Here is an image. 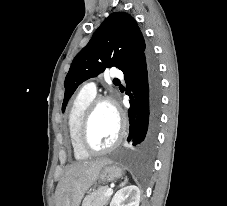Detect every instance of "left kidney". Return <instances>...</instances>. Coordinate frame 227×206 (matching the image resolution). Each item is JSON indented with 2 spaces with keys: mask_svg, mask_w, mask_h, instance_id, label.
I'll list each match as a JSON object with an SVG mask.
<instances>
[{
  "mask_svg": "<svg viewBox=\"0 0 227 206\" xmlns=\"http://www.w3.org/2000/svg\"><path fill=\"white\" fill-rule=\"evenodd\" d=\"M139 203L140 190L137 186L130 185L123 187L115 193L110 206H139Z\"/></svg>",
  "mask_w": 227,
  "mask_h": 206,
  "instance_id": "left-kidney-1",
  "label": "left kidney"
}]
</instances>
